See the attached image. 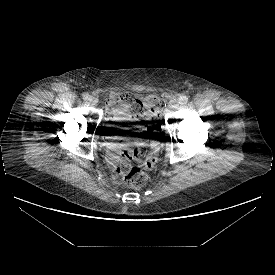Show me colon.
I'll use <instances>...</instances> for the list:
<instances>
[{
  "mask_svg": "<svg viewBox=\"0 0 275 275\" xmlns=\"http://www.w3.org/2000/svg\"><path fill=\"white\" fill-rule=\"evenodd\" d=\"M134 109L138 111L147 121H149V131L156 132L159 127L157 121L160 107V99L155 95L137 98L134 101ZM146 144H140L131 150L132 157L139 159L136 166L130 168L124 175L125 183L131 188H140L147 181L146 170L151 169L158 158V144H153L147 153ZM147 153V154H146ZM141 160V158H143Z\"/></svg>",
  "mask_w": 275,
  "mask_h": 275,
  "instance_id": "1",
  "label": "colon"
}]
</instances>
